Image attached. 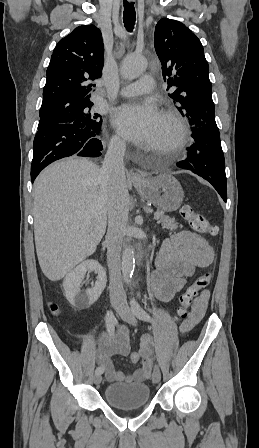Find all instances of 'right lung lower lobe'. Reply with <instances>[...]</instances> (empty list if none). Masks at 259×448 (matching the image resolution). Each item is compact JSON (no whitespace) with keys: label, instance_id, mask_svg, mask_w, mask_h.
<instances>
[{"label":"right lung lower lobe","instance_id":"1","mask_svg":"<svg viewBox=\"0 0 259 448\" xmlns=\"http://www.w3.org/2000/svg\"><path fill=\"white\" fill-rule=\"evenodd\" d=\"M99 129L86 130L72 123L48 126L38 130L33 142L31 181L50 163L76 154L84 157H98L103 145Z\"/></svg>","mask_w":259,"mask_h":448}]
</instances>
